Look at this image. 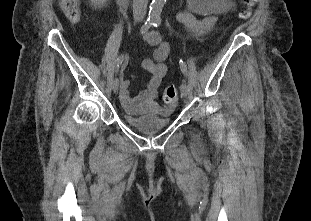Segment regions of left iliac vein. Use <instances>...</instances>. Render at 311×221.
<instances>
[{
	"label": "left iliac vein",
	"instance_id": "obj_1",
	"mask_svg": "<svg viewBox=\"0 0 311 221\" xmlns=\"http://www.w3.org/2000/svg\"><path fill=\"white\" fill-rule=\"evenodd\" d=\"M180 91L182 97H187V95L189 94V86L186 83H182L180 86Z\"/></svg>",
	"mask_w": 311,
	"mask_h": 221
}]
</instances>
